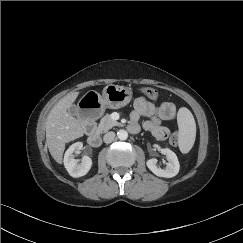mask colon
Here are the masks:
<instances>
[{"label":"colon","instance_id":"colon-1","mask_svg":"<svg viewBox=\"0 0 243 243\" xmlns=\"http://www.w3.org/2000/svg\"><path fill=\"white\" fill-rule=\"evenodd\" d=\"M141 92L150 99H156L159 96L158 90L153 87H142ZM171 145L177 144L176 135H172L169 140Z\"/></svg>","mask_w":243,"mask_h":243}]
</instances>
